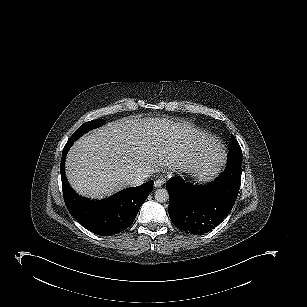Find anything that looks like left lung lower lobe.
Listing matches in <instances>:
<instances>
[{
	"label": "left lung lower lobe",
	"instance_id": "left-lung-lower-lobe-1",
	"mask_svg": "<svg viewBox=\"0 0 307 307\" xmlns=\"http://www.w3.org/2000/svg\"><path fill=\"white\" fill-rule=\"evenodd\" d=\"M241 174V166L227 164L224 172L206 185H189L176 178L168 180L171 221L190 234H205L214 229L236 201Z\"/></svg>",
	"mask_w": 307,
	"mask_h": 307
}]
</instances>
